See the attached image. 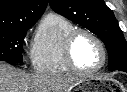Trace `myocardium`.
<instances>
[{"instance_id": "1", "label": "myocardium", "mask_w": 127, "mask_h": 92, "mask_svg": "<svg viewBox=\"0 0 127 92\" xmlns=\"http://www.w3.org/2000/svg\"><path fill=\"white\" fill-rule=\"evenodd\" d=\"M81 34H85L91 37L98 45L101 51V55H102L101 63L93 69H81L75 63L73 57V46L76 38ZM63 57L67 67L72 72L77 74H92L100 71L105 66L107 61V52L102 40L94 32L86 28H74L65 37L64 44H63Z\"/></svg>"}]
</instances>
